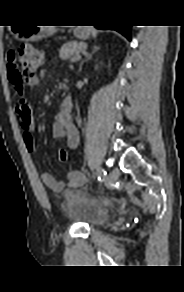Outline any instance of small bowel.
Segmentation results:
<instances>
[{
	"label": "small bowel",
	"mask_w": 184,
	"mask_h": 292,
	"mask_svg": "<svg viewBox=\"0 0 184 292\" xmlns=\"http://www.w3.org/2000/svg\"><path fill=\"white\" fill-rule=\"evenodd\" d=\"M44 75H45L44 71L36 74L27 82V84L29 86L37 85ZM14 86L16 90L19 92V94H21L22 86L16 85ZM15 110L20 118V129L27 150L30 153H33L35 151L33 139L35 123L33 111L23 97H19L18 100L16 101ZM69 111L65 112L63 110H60L58 114L55 116L53 124V136L58 139H63L69 148L75 149L79 143V134L70 116ZM41 180L45 186H47L54 192H59L66 186V184L63 181H57L55 177L49 172H43L41 174ZM86 183H87L86 176L78 170H71L67 174V186L72 189L80 188L84 186Z\"/></svg>",
	"instance_id": "small-bowel-1"
}]
</instances>
